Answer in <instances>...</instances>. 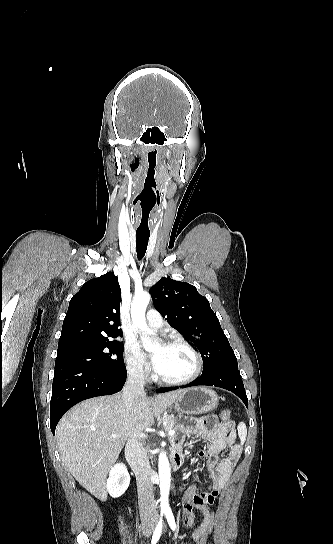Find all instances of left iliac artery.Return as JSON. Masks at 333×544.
Instances as JSON below:
<instances>
[{
  "instance_id": "obj_1",
  "label": "left iliac artery",
  "mask_w": 333,
  "mask_h": 544,
  "mask_svg": "<svg viewBox=\"0 0 333 544\" xmlns=\"http://www.w3.org/2000/svg\"><path fill=\"white\" fill-rule=\"evenodd\" d=\"M165 514H166V518H167V521H168L169 526L171 527V529H172L173 531H175V530H176V523H175V519H174V516H173L172 511H171V510H167V511L165 512Z\"/></svg>"
}]
</instances>
